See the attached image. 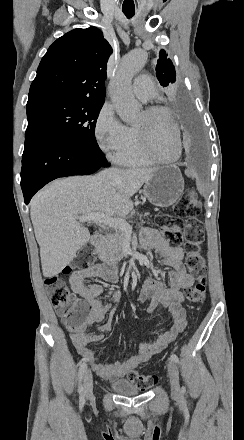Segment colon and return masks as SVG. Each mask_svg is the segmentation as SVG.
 <instances>
[{
	"mask_svg": "<svg viewBox=\"0 0 244 440\" xmlns=\"http://www.w3.org/2000/svg\"><path fill=\"white\" fill-rule=\"evenodd\" d=\"M201 205L193 189L185 192L177 203L173 214L162 213L157 216L159 228L165 231L170 245L183 247L186 253L185 265L195 284L188 289L187 296L193 303L202 304L206 298L207 273L200 245L204 238V226L199 219ZM93 248H79L73 260L76 272H85L89 257H93ZM72 267H69L70 271ZM44 285L49 291L57 315L61 316L71 329L82 331L91 313V306L82 304L71 292L64 280L58 275L46 276ZM155 373H138L128 375V380L138 386H152L156 382Z\"/></svg>",
	"mask_w": 244,
	"mask_h": 440,
	"instance_id": "5ec220e1",
	"label": "colon"
}]
</instances>
